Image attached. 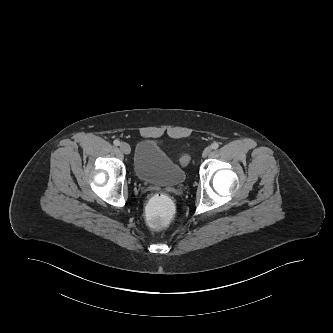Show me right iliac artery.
Here are the masks:
<instances>
[{
  "instance_id": "82829eb1",
  "label": "right iliac artery",
  "mask_w": 333,
  "mask_h": 333,
  "mask_svg": "<svg viewBox=\"0 0 333 333\" xmlns=\"http://www.w3.org/2000/svg\"><path fill=\"white\" fill-rule=\"evenodd\" d=\"M114 145H116V146H119L120 145V141L119 140H114Z\"/></svg>"
}]
</instances>
